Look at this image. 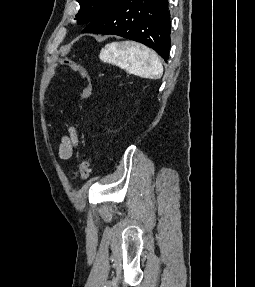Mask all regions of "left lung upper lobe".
Segmentation results:
<instances>
[{
    "label": "left lung upper lobe",
    "instance_id": "obj_1",
    "mask_svg": "<svg viewBox=\"0 0 255 287\" xmlns=\"http://www.w3.org/2000/svg\"><path fill=\"white\" fill-rule=\"evenodd\" d=\"M80 10L76 20L80 24H88L98 15L112 0H77Z\"/></svg>",
    "mask_w": 255,
    "mask_h": 287
}]
</instances>
